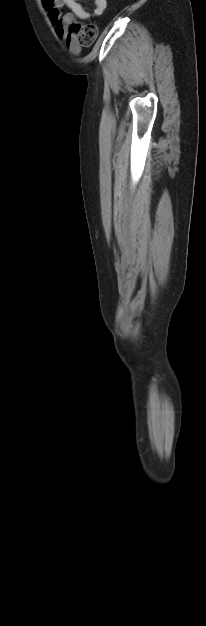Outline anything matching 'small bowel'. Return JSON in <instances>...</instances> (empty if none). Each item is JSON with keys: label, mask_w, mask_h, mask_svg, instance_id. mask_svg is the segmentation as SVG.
I'll use <instances>...</instances> for the list:
<instances>
[{"label": "small bowel", "mask_w": 206, "mask_h": 626, "mask_svg": "<svg viewBox=\"0 0 206 626\" xmlns=\"http://www.w3.org/2000/svg\"><path fill=\"white\" fill-rule=\"evenodd\" d=\"M48 13L49 19L55 25L56 34L62 38L68 50L77 55L81 51V44L75 32L71 31V26L77 20H87L92 16H100L106 9L107 0H93L94 8L90 13L86 11L77 0H42ZM67 7L70 12L62 14L61 8Z\"/></svg>", "instance_id": "c3829d8e"}]
</instances>
